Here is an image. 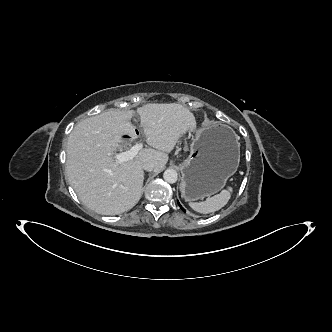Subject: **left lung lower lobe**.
Here are the masks:
<instances>
[{
	"label": "left lung lower lobe",
	"mask_w": 332,
	"mask_h": 332,
	"mask_svg": "<svg viewBox=\"0 0 332 332\" xmlns=\"http://www.w3.org/2000/svg\"><path fill=\"white\" fill-rule=\"evenodd\" d=\"M178 205L180 206V208L183 210V211H185L184 210V208L181 206V204L178 202Z\"/></svg>",
	"instance_id": "obj_1"
}]
</instances>
